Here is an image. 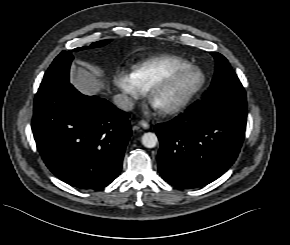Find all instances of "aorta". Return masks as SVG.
Wrapping results in <instances>:
<instances>
[{"label":"aorta","mask_w":290,"mask_h":245,"mask_svg":"<svg viewBox=\"0 0 290 245\" xmlns=\"http://www.w3.org/2000/svg\"><path fill=\"white\" fill-rule=\"evenodd\" d=\"M158 143V138L155 133L147 132L142 136V144L147 148H154Z\"/></svg>","instance_id":"762f6f07"}]
</instances>
